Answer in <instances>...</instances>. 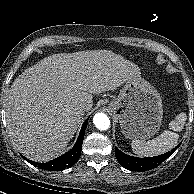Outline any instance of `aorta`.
I'll use <instances>...</instances> for the list:
<instances>
[{"instance_id":"obj_1","label":"aorta","mask_w":194,"mask_h":194,"mask_svg":"<svg viewBox=\"0 0 194 194\" xmlns=\"http://www.w3.org/2000/svg\"><path fill=\"white\" fill-rule=\"evenodd\" d=\"M93 123L99 130L105 131L110 127V119L104 113H96L93 117Z\"/></svg>"}]
</instances>
